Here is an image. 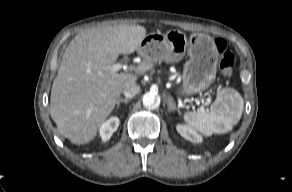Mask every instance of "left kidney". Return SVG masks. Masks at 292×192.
<instances>
[{"label": "left kidney", "mask_w": 292, "mask_h": 192, "mask_svg": "<svg viewBox=\"0 0 292 192\" xmlns=\"http://www.w3.org/2000/svg\"><path fill=\"white\" fill-rule=\"evenodd\" d=\"M176 129L178 133L186 140H189L194 143H199L202 141V137L189 126L178 124Z\"/></svg>", "instance_id": "obj_1"}]
</instances>
